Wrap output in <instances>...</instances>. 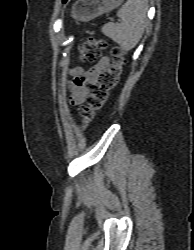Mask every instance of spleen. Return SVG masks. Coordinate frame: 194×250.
<instances>
[{
  "label": "spleen",
  "mask_w": 194,
  "mask_h": 250,
  "mask_svg": "<svg viewBox=\"0 0 194 250\" xmlns=\"http://www.w3.org/2000/svg\"><path fill=\"white\" fill-rule=\"evenodd\" d=\"M148 0H127L117 16L121 23H107L101 31L121 48L130 50L140 41L147 22Z\"/></svg>",
  "instance_id": "spleen-1"
}]
</instances>
